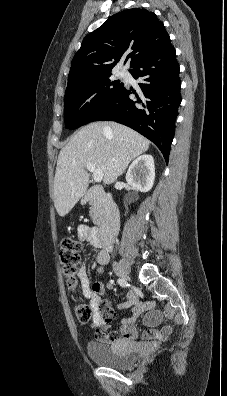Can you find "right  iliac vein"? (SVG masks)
<instances>
[{"mask_svg": "<svg viewBox=\"0 0 227 396\" xmlns=\"http://www.w3.org/2000/svg\"><path fill=\"white\" fill-rule=\"evenodd\" d=\"M114 271L115 273L121 277L123 280L125 281H129L130 280V276H129V267L127 266V264L123 261L119 262V263H115L113 265Z\"/></svg>", "mask_w": 227, "mask_h": 396, "instance_id": "right-iliac-vein-1", "label": "right iliac vein"}]
</instances>
